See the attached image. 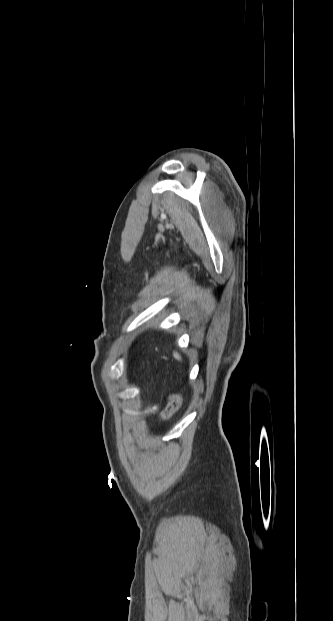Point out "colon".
Segmentation results:
<instances>
[{
    "label": "colon",
    "instance_id": "1",
    "mask_svg": "<svg viewBox=\"0 0 333 621\" xmlns=\"http://www.w3.org/2000/svg\"><path fill=\"white\" fill-rule=\"evenodd\" d=\"M180 402V397L179 395L173 394L169 397V401L168 404L164 410L163 416L167 417L169 416L173 411H175V409L178 407Z\"/></svg>",
    "mask_w": 333,
    "mask_h": 621
}]
</instances>
